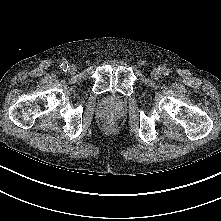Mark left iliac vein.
<instances>
[{
    "instance_id": "obj_1",
    "label": "left iliac vein",
    "mask_w": 221,
    "mask_h": 221,
    "mask_svg": "<svg viewBox=\"0 0 221 221\" xmlns=\"http://www.w3.org/2000/svg\"><path fill=\"white\" fill-rule=\"evenodd\" d=\"M151 78L157 80L161 77V72L159 69H153L150 74Z\"/></svg>"
}]
</instances>
